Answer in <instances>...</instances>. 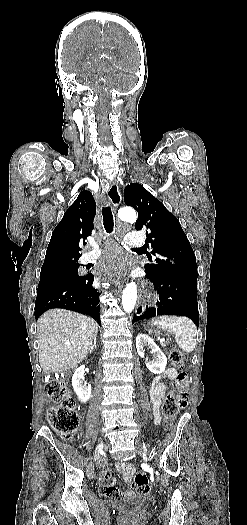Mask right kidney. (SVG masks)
<instances>
[{
    "label": "right kidney",
    "instance_id": "ca27d5eb",
    "mask_svg": "<svg viewBox=\"0 0 247 525\" xmlns=\"http://www.w3.org/2000/svg\"><path fill=\"white\" fill-rule=\"evenodd\" d=\"M85 365L76 369L72 377V387L81 403H87L91 397V385H88L84 377Z\"/></svg>",
    "mask_w": 247,
    "mask_h": 525
}]
</instances>
